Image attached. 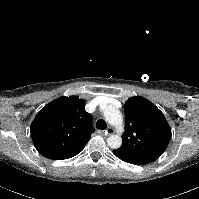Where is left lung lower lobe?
Listing matches in <instances>:
<instances>
[{
	"label": "left lung lower lobe",
	"instance_id": "0a47b994",
	"mask_svg": "<svg viewBox=\"0 0 199 199\" xmlns=\"http://www.w3.org/2000/svg\"><path fill=\"white\" fill-rule=\"evenodd\" d=\"M113 153L121 160L127 162V163H130V164H135V165H144V164H148L147 162L143 161V160H140V159H137V158H134V157H131V156H128V155H125V154H122V153H119L117 152L116 150H113Z\"/></svg>",
	"mask_w": 199,
	"mask_h": 199
}]
</instances>
